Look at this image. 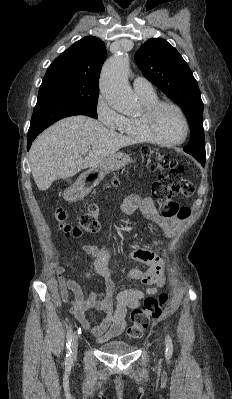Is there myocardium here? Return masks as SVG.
<instances>
[{
  "mask_svg": "<svg viewBox=\"0 0 232 399\" xmlns=\"http://www.w3.org/2000/svg\"><path fill=\"white\" fill-rule=\"evenodd\" d=\"M163 107H171L173 109H175L178 114L180 115L184 126H185V134L184 137L179 140V141H171V140H166L162 137H160L157 132L155 131L154 128V119L157 115V113L163 108ZM140 122L142 125L143 130L145 131V133L155 142L162 144V145H180L183 144L188 136H189V132H190V127H189V122L187 120V117L185 115V113L183 112V110L181 109V107H179L178 105L171 103V102H158L156 104L147 106L144 108L142 114L140 115Z\"/></svg>",
  "mask_w": 232,
  "mask_h": 399,
  "instance_id": "myocardium-1",
  "label": "myocardium"
}]
</instances>
